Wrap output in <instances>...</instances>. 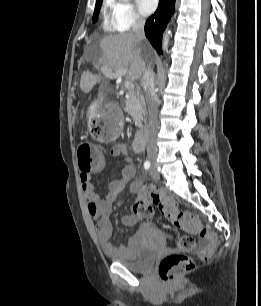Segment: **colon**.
<instances>
[{
  "label": "colon",
  "instance_id": "colon-1",
  "mask_svg": "<svg viewBox=\"0 0 261 306\" xmlns=\"http://www.w3.org/2000/svg\"><path fill=\"white\" fill-rule=\"evenodd\" d=\"M113 117L108 122L97 121L92 126L94 137L101 141L114 140L120 131V114L115 105H110ZM78 164L81 171H88L105 157L99 150H93L90 142H82L77 147ZM156 205L172 224L184 230L186 234L180 235L176 240L177 252L164 257L158 266V273L163 281H173L179 275L194 269V260L185 252L192 250L195 245V236L208 240V245L201 251V257L207 258L217 243V237L210 230L202 227L200 221L187 211L179 210L173 199L159 192L156 187L146 185L134 204V213L141 220H149L154 214Z\"/></svg>",
  "mask_w": 261,
  "mask_h": 306
}]
</instances>
